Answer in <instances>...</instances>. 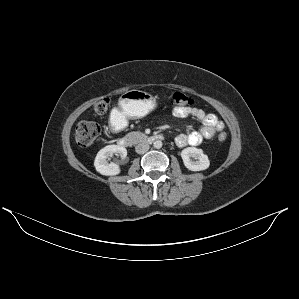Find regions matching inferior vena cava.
<instances>
[{"instance_id": "1", "label": "inferior vena cava", "mask_w": 299, "mask_h": 299, "mask_svg": "<svg viewBox=\"0 0 299 299\" xmlns=\"http://www.w3.org/2000/svg\"><path fill=\"white\" fill-rule=\"evenodd\" d=\"M135 150L138 154H144L149 150V144L148 143H139L136 145Z\"/></svg>"}]
</instances>
